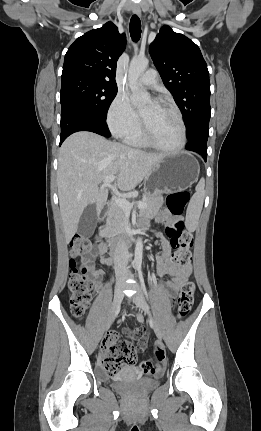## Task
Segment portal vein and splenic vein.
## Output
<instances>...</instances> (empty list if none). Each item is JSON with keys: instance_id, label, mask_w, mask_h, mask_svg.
Returning a JSON list of instances; mask_svg holds the SVG:
<instances>
[{"instance_id": "1", "label": "portal vein and splenic vein", "mask_w": 261, "mask_h": 431, "mask_svg": "<svg viewBox=\"0 0 261 431\" xmlns=\"http://www.w3.org/2000/svg\"><path fill=\"white\" fill-rule=\"evenodd\" d=\"M115 176L114 175H109L107 176L102 182L105 185H111V183L115 180ZM112 191H113V200L114 203L117 204L118 206H120L121 208H123L125 211H130L133 208L134 203L129 202L128 200H126L125 198L119 197L117 196L116 190L115 188L111 187ZM137 206L139 209H143L146 207V203L144 202H138Z\"/></svg>"}]
</instances>
